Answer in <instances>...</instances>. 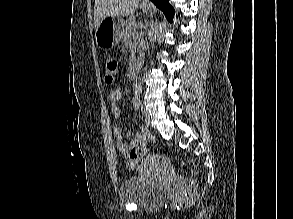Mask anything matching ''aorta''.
Masks as SVG:
<instances>
[{
    "label": "aorta",
    "mask_w": 293,
    "mask_h": 219,
    "mask_svg": "<svg viewBox=\"0 0 293 219\" xmlns=\"http://www.w3.org/2000/svg\"><path fill=\"white\" fill-rule=\"evenodd\" d=\"M150 36H151V34H150ZM134 88H135L136 91H139V90L141 89V84H140V82L137 83V81H136V83L134 84Z\"/></svg>",
    "instance_id": "762f6f07"
}]
</instances>
